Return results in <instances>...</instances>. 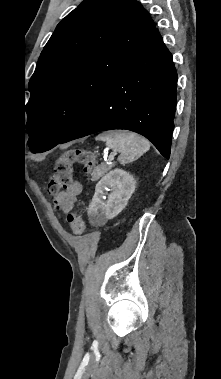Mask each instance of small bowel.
<instances>
[{"instance_id": "obj_1", "label": "small bowel", "mask_w": 221, "mask_h": 379, "mask_svg": "<svg viewBox=\"0 0 221 379\" xmlns=\"http://www.w3.org/2000/svg\"><path fill=\"white\" fill-rule=\"evenodd\" d=\"M81 192L82 185L76 181L64 191L52 190L51 196L55 197L57 207L63 213L70 214L74 210L77 198Z\"/></svg>"}]
</instances>
